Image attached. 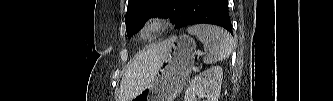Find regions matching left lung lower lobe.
<instances>
[{
  "instance_id": "obj_1",
  "label": "left lung lower lobe",
  "mask_w": 333,
  "mask_h": 101,
  "mask_svg": "<svg viewBox=\"0 0 333 101\" xmlns=\"http://www.w3.org/2000/svg\"><path fill=\"white\" fill-rule=\"evenodd\" d=\"M184 10L175 28L208 23L224 27L232 34L227 0H181Z\"/></svg>"
}]
</instances>
